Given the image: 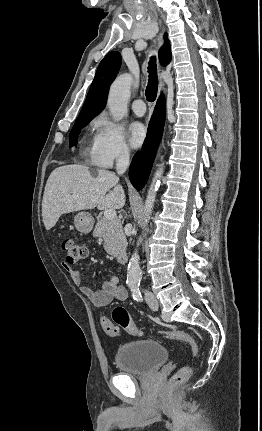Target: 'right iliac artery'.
I'll return each mask as SVG.
<instances>
[{
	"label": "right iliac artery",
	"mask_w": 262,
	"mask_h": 431,
	"mask_svg": "<svg viewBox=\"0 0 262 431\" xmlns=\"http://www.w3.org/2000/svg\"><path fill=\"white\" fill-rule=\"evenodd\" d=\"M134 283H129V286L133 285Z\"/></svg>",
	"instance_id": "1"
}]
</instances>
